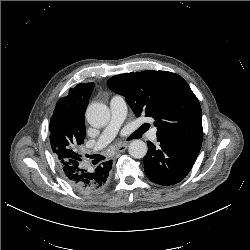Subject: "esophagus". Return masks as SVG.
Wrapping results in <instances>:
<instances>
[{"mask_svg":"<svg viewBox=\"0 0 250 250\" xmlns=\"http://www.w3.org/2000/svg\"><path fill=\"white\" fill-rule=\"evenodd\" d=\"M127 148H128V143H123V144H121V145H118V146L116 147V150H117L118 152H124Z\"/></svg>","mask_w":250,"mask_h":250,"instance_id":"esophagus-1","label":"esophagus"}]
</instances>
